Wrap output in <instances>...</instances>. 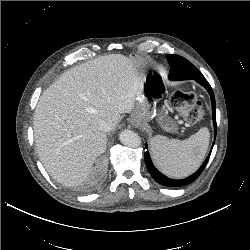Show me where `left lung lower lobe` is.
<instances>
[{
	"instance_id": "0a47b994",
	"label": "left lung lower lobe",
	"mask_w": 250,
	"mask_h": 250,
	"mask_svg": "<svg viewBox=\"0 0 250 250\" xmlns=\"http://www.w3.org/2000/svg\"><path fill=\"white\" fill-rule=\"evenodd\" d=\"M168 62L170 63V66H171L169 76H168L169 79L174 80V81L194 79L196 82H198L203 87H205L207 91L209 92L211 96V102H212V116H213V124H214L215 137H216V106H215V98H214L213 90L210 84L207 82L204 76L198 71V69L192 63H190L187 59L178 55H174L168 58ZM145 148L147 149V144ZM210 154L211 152L209 153V155L207 156L206 160L203 162L201 167L194 174L181 180L168 178L165 175H163L161 172H159L153 165L148 150L145 152L144 160H145V164L147 166L149 173L158 183L167 187H180V186H185L187 184L192 183L199 177V175L202 173V171L204 170L209 160Z\"/></svg>"
}]
</instances>
